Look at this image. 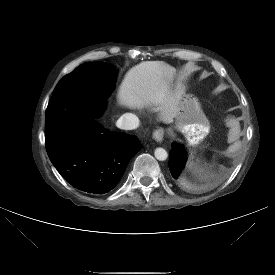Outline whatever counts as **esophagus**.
Segmentation results:
<instances>
[{
	"mask_svg": "<svg viewBox=\"0 0 275 275\" xmlns=\"http://www.w3.org/2000/svg\"><path fill=\"white\" fill-rule=\"evenodd\" d=\"M163 137H164V130L162 128H159V129L154 131L153 138L157 142H161L163 140Z\"/></svg>",
	"mask_w": 275,
	"mask_h": 275,
	"instance_id": "esophagus-1",
	"label": "esophagus"
}]
</instances>
